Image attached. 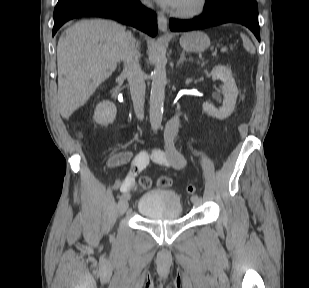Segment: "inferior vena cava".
Masks as SVG:
<instances>
[{
  "instance_id": "obj_1",
  "label": "inferior vena cava",
  "mask_w": 309,
  "mask_h": 288,
  "mask_svg": "<svg viewBox=\"0 0 309 288\" xmlns=\"http://www.w3.org/2000/svg\"><path fill=\"white\" fill-rule=\"evenodd\" d=\"M145 3L148 7H152L150 2ZM120 58L124 62V70L128 77L135 114L139 120H143L146 87L144 75L139 64L140 52L138 43H136L131 33H129L126 42L121 47Z\"/></svg>"
}]
</instances>
